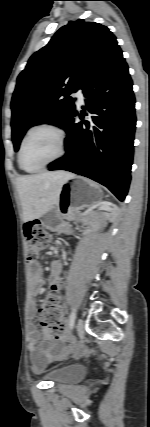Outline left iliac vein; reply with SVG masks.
I'll return each mask as SVG.
<instances>
[{"instance_id": "4c4485c4", "label": "left iliac vein", "mask_w": 150, "mask_h": 427, "mask_svg": "<svg viewBox=\"0 0 150 427\" xmlns=\"http://www.w3.org/2000/svg\"><path fill=\"white\" fill-rule=\"evenodd\" d=\"M76 330L79 337H82L84 335V321L82 319H78Z\"/></svg>"}]
</instances>
